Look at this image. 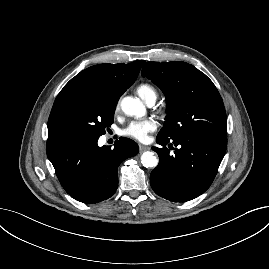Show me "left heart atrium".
<instances>
[{"mask_svg":"<svg viewBox=\"0 0 269 269\" xmlns=\"http://www.w3.org/2000/svg\"><path fill=\"white\" fill-rule=\"evenodd\" d=\"M157 127V122L151 118L133 121L123 130V134L138 141H146L149 134Z\"/></svg>","mask_w":269,"mask_h":269,"instance_id":"obj_1","label":"left heart atrium"}]
</instances>
